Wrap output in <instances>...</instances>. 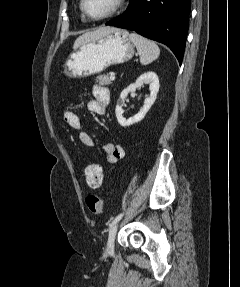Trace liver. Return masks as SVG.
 <instances>
[{"instance_id": "6515ba94", "label": "liver", "mask_w": 240, "mask_h": 287, "mask_svg": "<svg viewBox=\"0 0 240 287\" xmlns=\"http://www.w3.org/2000/svg\"><path fill=\"white\" fill-rule=\"evenodd\" d=\"M114 29H115V27L107 26V27H101L95 31L85 32L84 34H82L81 36H79L75 40L73 47L76 48V47H78V46H80V45H82L88 41L100 38V37L108 34L109 32L113 31Z\"/></svg>"}]
</instances>
